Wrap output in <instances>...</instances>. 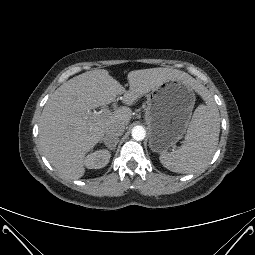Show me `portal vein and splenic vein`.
<instances>
[{
	"label": "portal vein and splenic vein",
	"instance_id": "portal-vein-and-splenic-vein-1",
	"mask_svg": "<svg viewBox=\"0 0 255 255\" xmlns=\"http://www.w3.org/2000/svg\"><path fill=\"white\" fill-rule=\"evenodd\" d=\"M109 114H111L109 110H105V111L102 112V115H105V116L109 115Z\"/></svg>",
	"mask_w": 255,
	"mask_h": 255
}]
</instances>
